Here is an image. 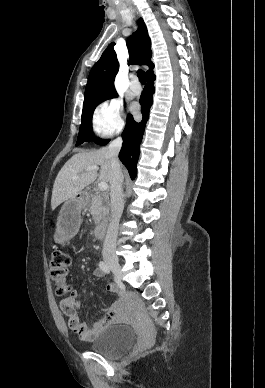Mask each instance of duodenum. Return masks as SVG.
I'll use <instances>...</instances> for the list:
<instances>
[{
	"mask_svg": "<svg viewBox=\"0 0 265 388\" xmlns=\"http://www.w3.org/2000/svg\"><path fill=\"white\" fill-rule=\"evenodd\" d=\"M77 196H78L77 197L78 201L81 203H86L90 198V195L87 192H81ZM108 224H109L108 220H103L97 225L95 229V234L98 238L104 237L108 228Z\"/></svg>",
	"mask_w": 265,
	"mask_h": 388,
	"instance_id": "obj_1",
	"label": "duodenum"
}]
</instances>
